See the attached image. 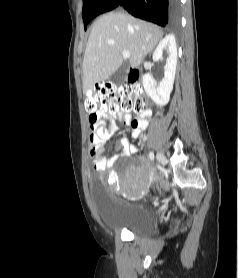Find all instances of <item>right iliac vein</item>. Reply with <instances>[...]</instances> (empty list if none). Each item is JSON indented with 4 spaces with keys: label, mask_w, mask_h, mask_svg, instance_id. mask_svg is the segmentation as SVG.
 Masks as SVG:
<instances>
[{
    "label": "right iliac vein",
    "mask_w": 238,
    "mask_h": 278,
    "mask_svg": "<svg viewBox=\"0 0 238 278\" xmlns=\"http://www.w3.org/2000/svg\"><path fill=\"white\" fill-rule=\"evenodd\" d=\"M157 160L159 161V163L162 164V167H165V164H163L165 160V156L162 152L157 153Z\"/></svg>",
    "instance_id": "63e3f726"
}]
</instances>
